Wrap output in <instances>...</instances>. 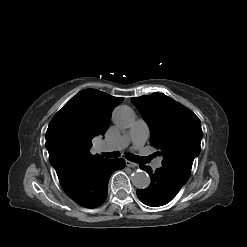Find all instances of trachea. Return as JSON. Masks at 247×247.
Masks as SVG:
<instances>
[{"label":"trachea","mask_w":247,"mask_h":247,"mask_svg":"<svg viewBox=\"0 0 247 247\" xmlns=\"http://www.w3.org/2000/svg\"><path fill=\"white\" fill-rule=\"evenodd\" d=\"M102 155L105 156L106 158H116V157L119 156V153L118 152H108V153H103ZM126 157L130 161L135 162V163H145V162H147L148 160H150L152 158V156H150V157H141V156H136V155H133V154H127Z\"/></svg>","instance_id":"1"}]
</instances>
